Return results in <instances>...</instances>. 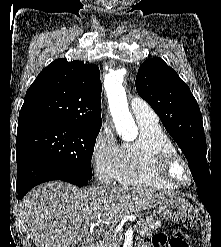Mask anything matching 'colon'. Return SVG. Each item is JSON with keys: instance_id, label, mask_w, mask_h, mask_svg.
<instances>
[{"instance_id": "obj_1", "label": "colon", "mask_w": 221, "mask_h": 247, "mask_svg": "<svg viewBox=\"0 0 221 247\" xmlns=\"http://www.w3.org/2000/svg\"><path fill=\"white\" fill-rule=\"evenodd\" d=\"M199 226L198 214L192 213L188 215L183 221V230H177L173 233L170 239L164 235H156L152 239L155 247H188V240L185 231L195 230ZM78 247H86L84 245Z\"/></svg>"}]
</instances>
